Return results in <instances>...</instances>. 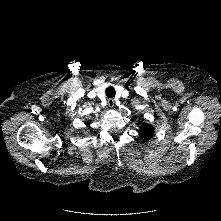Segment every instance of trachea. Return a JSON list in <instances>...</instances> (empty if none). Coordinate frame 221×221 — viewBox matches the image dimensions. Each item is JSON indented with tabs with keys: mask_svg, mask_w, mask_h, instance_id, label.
I'll return each mask as SVG.
<instances>
[{
	"mask_svg": "<svg viewBox=\"0 0 221 221\" xmlns=\"http://www.w3.org/2000/svg\"><path fill=\"white\" fill-rule=\"evenodd\" d=\"M105 92H106V96L109 97V98H113L116 94L115 89L111 86L107 87Z\"/></svg>",
	"mask_w": 221,
	"mask_h": 221,
	"instance_id": "3493384b",
	"label": "trachea"
}]
</instances>
